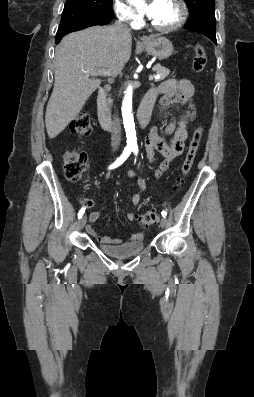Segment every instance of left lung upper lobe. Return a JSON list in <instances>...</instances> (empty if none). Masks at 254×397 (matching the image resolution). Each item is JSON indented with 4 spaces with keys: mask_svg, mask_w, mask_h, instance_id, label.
<instances>
[{
    "mask_svg": "<svg viewBox=\"0 0 254 397\" xmlns=\"http://www.w3.org/2000/svg\"><path fill=\"white\" fill-rule=\"evenodd\" d=\"M189 8V17L192 21L215 19L214 0H184Z\"/></svg>",
    "mask_w": 254,
    "mask_h": 397,
    "instance_id": "obj_1",
    "label": "left lung upper lobe"
}]
</instances>
